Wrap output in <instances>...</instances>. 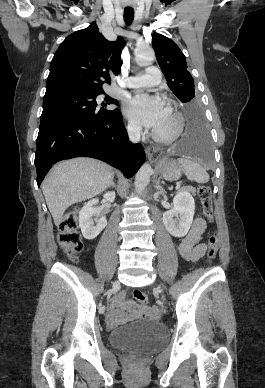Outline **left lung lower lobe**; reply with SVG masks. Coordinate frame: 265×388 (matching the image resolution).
I'll list each match as a JSON object with an SVG mask.
<instances>
[{
	"mask_svg": "<svg viewBox=\"0 0 265 388\" xmlns=\"http://www.w3.org/2000/svg\"><path fill=\"white\" fill-rule=\"evenodd\" d=\"M185 117V132L175 151L184 156L209 162L211 160L210 137L200 108L187 110Z\"/></svg>",
	"mask_w": 265,
	"mask_h": 388,
	"instance_id": "0a47b994",
	"label": "left lung lower lobe"
}]
</instances>
